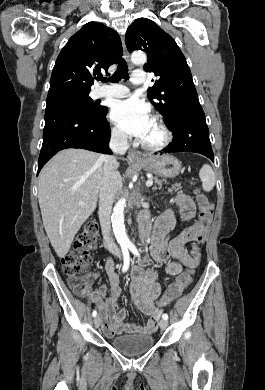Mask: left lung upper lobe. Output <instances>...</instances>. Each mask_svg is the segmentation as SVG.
Returning <instances> with one entry per match:
<instances>
[{
    "instance_id": "1",
    "label": "left lung upper lobe",
    "mask_w": 265,
    "mask_h": 390,
    "mask_svg": "<svg viewBox=\"0 0 265 390\" xmlns=\"http://www.w3.org/2000/svg\"><path fill=\"white\" fill-rule=\"evenodd\" d=\"M125 42L129 52L145 51L148 59L144 69L159 76L148 89V98L164 116L168 128L183 110L200 105L183 53L155 22L147 18L135 20L127 29Z\"/></svg>"
}]
</instances>
